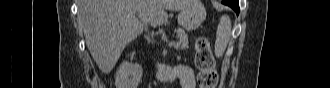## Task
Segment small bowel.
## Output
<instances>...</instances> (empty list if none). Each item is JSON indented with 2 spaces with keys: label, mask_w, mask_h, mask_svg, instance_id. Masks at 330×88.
Here are the masks:
<instances>
[{
  "label": "small bowel",
  "mask_w": 330,
  "mask_h": 88,
  "mask_svg": "<svg viewBox=\"0 0 330 88\" xmlns=\"http://www.w3.org/2000/svg\"><path fill=\"white\" fill-rule=\"evenodd\" d=\"M169 75L172 79L179 81L182 88H195V75L188 66H174L169 69Z\"/></svg>",
  "instance_id": "obj_1"
}]
</instances>
